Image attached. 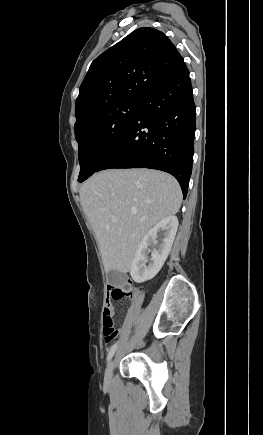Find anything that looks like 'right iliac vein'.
Segmentation results:
<instances>
[{
  "label": "right iliac vein",
  "mask_w": 263,
  "mask_h": 435,
  "mask_svg": "<svg viewBox=\"0 0 263 435\" xmlns=\"http://www.w3.org/2000/svg\"><path fill=\"white\" fill-rule=\"evenodd\" d=\"M114 365H115V361L110 360L107 367H106L104 380H105V383H107V384H109L111 382Z\"/></svg>",
  "instance_id": "63e3f726"
}]
</instances>
